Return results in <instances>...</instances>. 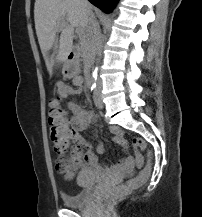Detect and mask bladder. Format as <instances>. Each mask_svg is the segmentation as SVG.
Wrapping results in <instances>:
<instances>
[{
  "label": "bladder",
  "instance_id": "31cf9c89",
  "mask_svg": "<svg viewBox=\"0 0 202 217\" xmlns=\"http://www.w3.org/2000/svg\"><path fill=\"white\" fill-rule=\"evenodd\" d=\"M98 180V173L94 170L83 169L77 177L80 190L75 195H62L61 199L67 207H82L92 196V188Z\"/></svg>",
  "mask_w": 202,
  "mask_h": 217
}]
</instances>
